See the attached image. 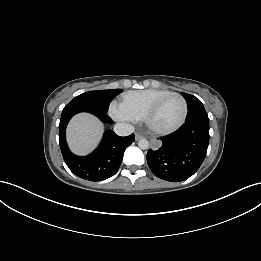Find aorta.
Wrapping results in <instances>:
<instances>
[{"label": "aorta", "mask_w": 261, "mask_h": 261, "mask_svg": "<svg viewBox=\"0 0 261 261\" xmlns=\"http://www.w3.org/2000/svg\"><path fill=\"white\" fill-rule=\"evenodd\" d=\"M138 146L140 149L145 150L149 148V141L146 139H141L138 142Z\"/></svg>", "instance_id": "aorta-1"}]
</instances>
